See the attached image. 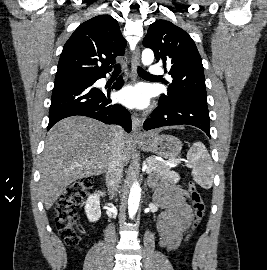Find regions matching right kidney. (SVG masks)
Instances as JSON below:
<instances>
[{
    "label": "right kidney",
    "instance_id": "1",
    "mask_svg": "<svg viewBox=\"0 0 267 270\" xmlns=\"http://www.w3.org/2000/svg\"><path fill=\"white\" fill-rule=\"evenodd\" d=\"M104 193L98 191L90 195L85 203V212L87 218L91 222H96L101 217V209H100V196H103Z\"/></svg>",
    "mask_w": 267,
    "mask_h": 270
}]
</instances>
